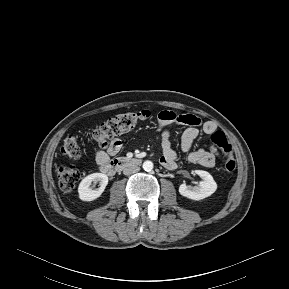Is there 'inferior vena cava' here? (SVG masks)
I'll return each instance as SVG.
<instances>
[{
    "label": "inferior vena cava",
    "mask_w": 289,
    "mask_h": 289,
    "mask_svg": "<svg viewBox=\"0 0 289 289\" xmlns=\"http://www.w3.org/2000/svg\"><path fill=\"white\" fill-rule=\"evenodd\" d=\"M140 170L139 167L137 166H130V167H126L124 170H123V174L124 175H130V174H133V173H136Z\"/></svg>",
    "instance_id": "1"
}]
</instances>
